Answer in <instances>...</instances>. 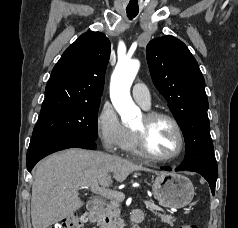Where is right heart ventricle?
Listing matches in <instances>:
<instances>
[{
  "mask_svg": "<svg viewBox=\"0 0 238 228\" xmlns=\"http://www.w3.org/2000/svg\"><path fill=\"white\" fill-rule=\"evenodd\" d=\"M124 150L127 153L136 157H139L142 155L138 149L134 132L131 130H129V138L124 146Z\"/></svg>",
  "mask_w": 238,
  "mask_h": 228,
  "instance_id": "right-heart-ventricle-1",
  "label": "right heart ventricle"
}]
</instances>
